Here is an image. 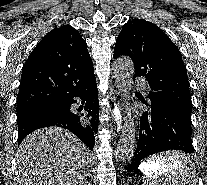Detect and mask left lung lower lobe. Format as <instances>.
Wrapping results in <instances>:
<instances>
[{"mask_svg": "<svg viewBox=\"0 0 207 185\" xmlns=\"http://www.w3.org/2000/svg\"><path fill=\"white\" fill-rule=\"evenodd\" d=\"M145 105L141 117V130L137 148L129 171L139 166L145 157L167 150H181L193 153L191 121L168 105L147 102L137 96Z\"/></svg>", "mask_w": 207, "mask_h": 185, "instance_id": "1", "label": "left lung lower lobe"}]
</instances>
